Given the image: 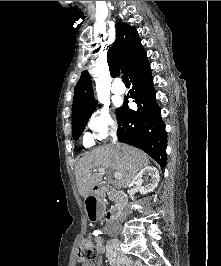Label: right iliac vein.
Segmentation results:
<instances>
[{"label":"right iliac vein","mask_w":221,"mask_h":266,"mask_svg":"<svg viewBox=\"0 0 221 266\" xmlns=\"http://www.w3.org/2000/svg\"><path fill=\"white\" fill-rule=\"evenodd\" d=\"M118 245H119L118 240H117V239H114L113 246H114V247H117Z\"/></svg>","instance_id":"obj_1"}]
</instances>
